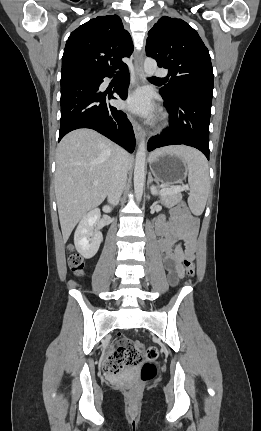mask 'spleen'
I'll return each instance as SVG.
<instances>
[{
    "mask_svg": "<svg viewBox=\"0 0 261 431\" xmlns=\"http://www.w3.org/2000/svg\"><path fill=\"white\" fill-rule=\"evenodd\" d=\"M163 153L176 155L187 165L190 186L188 205L195 215H200L205 208L210 188L206 158L199 151L186 146L165 147L155 151L151 157Z\"/></svg>",
    "mask_w": 261,
    "mask_h": 431,
    "instance_id": "3e777b00",
    "label": "spleen"
}]
</instances>
